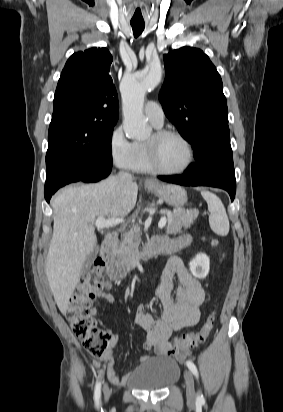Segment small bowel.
Here are the masks:
<instances>
[{"label":"small bowel","instance_id":"1","mask_svg":"<svg viewBox=\"0 0 283 412\" xmlns=\"http://www.w3.org/2000/svg\"><path fill=\"white\" fill-rule=\"evenodd\" d=\"M173 247L170 253H175L189 247L192 238L183 235L174 240L156 238ZM112 287L110 281L102 284L99 296L108 304L115 300L109 292ZM175 295V299L173 296ZM205 290L201 282L195 279L188 271L183 260L178 256H173L166 267L162 277L157 301L160 304L161 315L154 319L148 312L145 305L137 307L135 313V324L144 329L147 333L143 348L153 351L156 355L167 357L175 356L179 361H183L187 356V351L178 352L171 347L170 338L174 331L196 325L200 317V305L204 302ZM98 308H92V313L97 314ZM118 345V338L113 335L110 348L103 359L107 361V373L111 381L118 386L125 385L127 378L118 376L115 372V361L113 357L114 348ZM149 356L143 355L140 362H145Z\"/></svg>","mask_w":283,"mask_h":412}]
</instances>
